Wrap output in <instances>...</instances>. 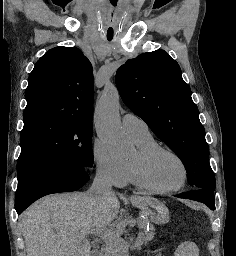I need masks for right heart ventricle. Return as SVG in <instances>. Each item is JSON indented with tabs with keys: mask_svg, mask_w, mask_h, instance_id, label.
I'll return each instance as SVG.
<instances>
[{
	"mask_svg": "<svg viewBox=\"0 0 236 256\" xmlns=\"http://www.w3.org/2000/svg\"><path fill=\"white\" fill-rule=\"evenodd\" d=\"M133 140L135 141L138 148H147L150 146L157 145L156 141L154 140V138L151 135L142 137V138H133ZM126 164H127V170H128V182L130 184L137 185L135 178L133 176V172H132L130 164L129 163H126Z\"/></svg>",
	"mask_w": 236,
	"mask_h": 256,
	"instance_id": "obj_1",
	"label": "right heart ventricle"
}]
</instances>
